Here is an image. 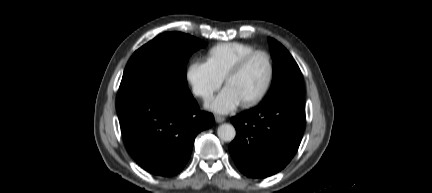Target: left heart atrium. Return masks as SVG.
Returning a JSON list of instances; mask_svg holds the SVG:
<instances>
[{
  "label": "left heart atrium",
  "mask_w": 432,
  "mask_h": 193,
  "mask_svg": "<svg viewBox=\"0 0 432 193\" xmlns=\"http://www.w3.org/2000/svg\"><path fill=\"white\" fill-rule=\"evenodd\" d=\"M240 104L235 92L226 87L221 94L208 104V107L219 113H227L234 110Z\"/></svg>",
  "instance_id": "left-heart-atrium-1"
}]
</instances>
